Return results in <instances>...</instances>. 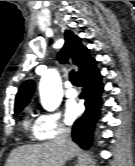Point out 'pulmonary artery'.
Listing matches in <instances>:
<instances>
[{
	"label": "pulmonary artery",
	"mask_w": 135,
	"mask_h": 166,
	"mask_svg": "<svg viewBox=\"0 0 135 166\" xmlns=\"http://www.w3.org/2000/svg\"><path fill=\"white\" fill-rule=\"evenodd\" d=\"M65 94H66V97H68V98H75L77 96L76 90L73 87H71L70 85L67 86Z\"/></svg>",
	"instance_id": "obj_1"
}]
</instances>
